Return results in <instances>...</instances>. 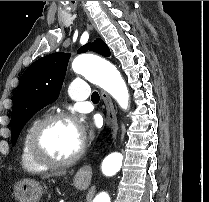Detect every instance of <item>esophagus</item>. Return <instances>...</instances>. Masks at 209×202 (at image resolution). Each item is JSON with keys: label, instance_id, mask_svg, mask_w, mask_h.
<instances>
[{"label": "esophagus", "instance_id": "1", "mask_svg": "<svg viewBox=\"0 0 209 202\" xmlns=\"http://www.w3.org/2000/svg\"><path fill=\"white\" fill-rule=\"evenodd\" d=\"M101 98L103 100L106 109L105 123L108 129L110 130L111 139L114 140L116 138L118 131L116 111L114 109V105L112 103L110 96L105 91H101ZM76 177L80 180L90 182L92 178L91 165L85 164L82 167H80L76 173Z\"/></svg>", "mask_w": 209, "mask_h": 202}]
</instances>
